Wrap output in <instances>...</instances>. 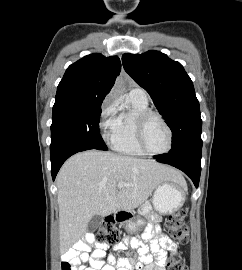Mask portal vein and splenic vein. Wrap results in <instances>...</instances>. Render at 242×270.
Returning <instances> with one entry per match:
<instances>
[{"mask_svg":"<svg viewBox=\"0 0 242 270\" xmlns=\"http://www.w3.org/2000/svg\"><path fill=\"white\" fill-rule=\"evenodd\" d=\"M127 185L128 184H126L124 182H119L118 185H117V187H118V189H121V188H123L124 186H127Z\"/></svg>","mask_w":242,"mask_h":270,"instance_id":"1","label":"portal vein and splenic vein"}]
</instances>
